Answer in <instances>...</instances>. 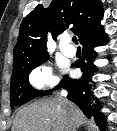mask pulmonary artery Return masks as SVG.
<instances>
[{
  "label": "pulmonary artery",
  "mask_w": 117,
  "mask_h": 131,
  "mask_svg": "<svg viewBox=\"0 0 117 131\" xmlns=\"http://www.w3.org/2000/svg\"><path fill=\"white\" fill-rule=\"evenodd\" d=\"M60 51L68 57H73L76 53L75 48L70 45V38L65 37L60 42Z\"/></svg>",
  "instance_id": "obj_1"
}]
</instances>
